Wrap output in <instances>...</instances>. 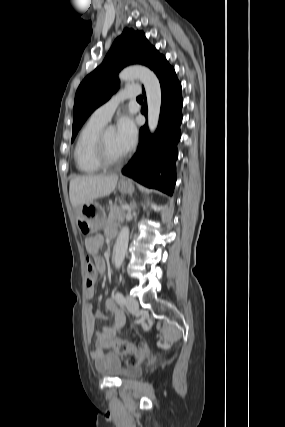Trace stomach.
<instances>
[{"label":"stomach","instance_id":"stomach-1","mask_svg":"<svg viewBox=\"0 0 285 427\" xmlns=\"http://www.w3.org/2000/svg\"><path fill=\"white\" fill-rule=\"evenodd\" d=\"M118 189L123 194H132L135 187L130 180L119 181ZM105 219L101 207L97 203L83 205L77 210V224L81 232L92 234L104 223Z\"/></svg>","mask_w":285,"mask_h":427}]
</instances>
